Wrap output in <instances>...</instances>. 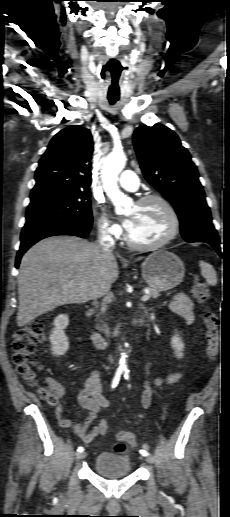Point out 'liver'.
<instances>
[{"label": "liver", "instance_id": "liver-1", "mask_svg": "<svg viewBox=\"0 0 230 517\" xmlns=\"http://www.w3.org/2000/svg\"><path fill=\"white\" fill-rule=\"evenodd\" d=\"M118 276L112 250L105 252L98 244L77 237L43 239L20 263L17 325L23 327L58 306L103 296Z\"/></svg>", "mask_w": 230, "mask_h": 517}]
</instances>
